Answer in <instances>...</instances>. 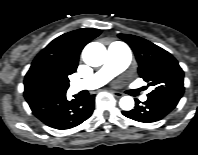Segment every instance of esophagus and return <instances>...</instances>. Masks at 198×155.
I'll return each mask as SVG.
<instances>
[{
  "instance_id": "esophagus-1",
  "label": "esophagus",
  "mask_w": 198,
  "mask_h": 155,
  "mask_svg": "<svg viewBox=\"0 0 198 155\" xmlns=\"http://www.w3.org/2000/svg\"><path fill=\"white\" fill-rule=\"evenodd\" d=\"M112 94L115 96V97H122L123 96V93L119 92V91H112Z\"/></svg>"
}]
</instances>
